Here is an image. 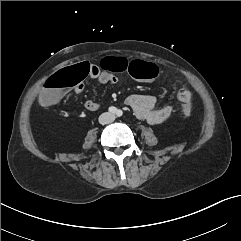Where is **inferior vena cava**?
I'll list each match as a JSON object with an SVG mask.
<instances>
[{
  "instance_id": "inferior-vena-cava-1",
  "label": "inferior vena cava",
  "mask_w": 241,
  "mask_h": 241,
  "mask_svg": "<svg viewBox=\"0 0 241 241\" xmlns=\"http://www.w3.org/2000/svg\"><path fill=\"white\" fill-rule=\"evenodd\" d=\"M114 119H115V116L112 113L105 112L100 115L99 122L101 124H109V123L113 122Z\"/></svg>"
}]
</instances>
